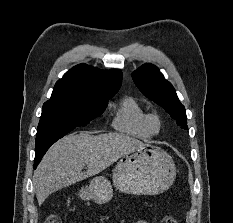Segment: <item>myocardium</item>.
I'll use <instances>...</instances> for the list:
<instances>
[{
    "instance_id": "obj_1",
    "label": "myocardium",
    "mask_w": 233,
    "mask_h": 223,
    "mask_svg": "<svg viewBox=\"0 0 233 223\" xmlns=\"http://www.w3.org/2000/svg\"><path fill=\"white\" fill-rule=\"evenodd\" d=\"M155 123L159 124V129L157 130L154 128ZM146 127L151 134L153 135L160 134L164 129L163 117L157 112H152V113L147 114Z\"/></svg>"
}]
</instances>
